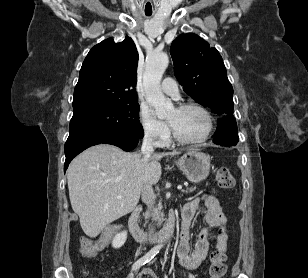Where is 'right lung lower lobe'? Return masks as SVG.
<instances>
[{
  "mask_svg": "<svg viewBox=\"0 0 308 278\" xmlns=\"http://www.w3.org/2000/svg\"><path fill=\"white\" fill-rule=\"evenodd\" d=\"M138 139L137 136L112 132H85L69 135L65 143L64 171L76 155L90 146L106 143L118 146L125 151H131L136 147Z\"/></svg>",
  "mask_w": 308,
  "mask_h": 278,
  "instance_id": "1",
  "label": "right lung lower lobe"
}]
</instances>
